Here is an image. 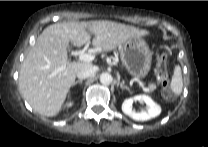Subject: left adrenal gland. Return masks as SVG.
<instances>
[{
	"mask_svg": "<svg viewBox=\"0 0 208 147\" xmlns=\"http://www.w3.org/2000/svg\"><path fill=\"white\" fill-rule=\"evenodd\" d=\"M120 87H121V89H126L130 92V88L127 85H125L124 81L120 83Z\"/></svg>",
	"mask_w": 208,
	"mask_h": 147,
	"instance_id": "obj_1",
	"label": "left adrenal gland"
}]
</instances>
